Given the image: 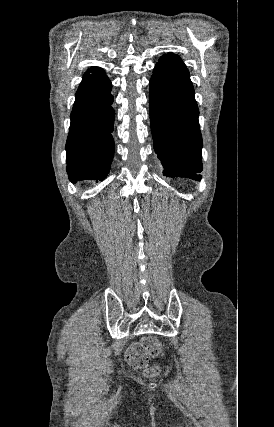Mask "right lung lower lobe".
Instances as JSON below:
<instances>
[{
    "label": "right lung lower lobe",
    "instance_id": "obj_1",
    "mask_svg": "<svg viewBox=\"0 0 274 427\" xmlns=\"http://www.w3.org/2000/svg\"><path fill=\"white\" fill-rule=\"evenodd\" d=\"M111 82L102 69L92 67L83 76L71 113L66 143L67 173L74 183L103 180L114 154V110Z\"/></svg>",
    "mask_w": 274,
    "mask_h": 427
}]
</instances>
